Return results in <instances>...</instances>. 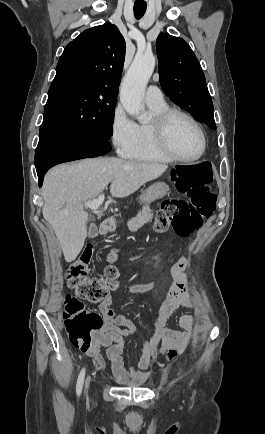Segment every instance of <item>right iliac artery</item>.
<instances>
[{"label":"right iliac artery","instance_id":"right-iliac-artery-1","mask_svg":"<svg viewBox=\"0 0 265 434\" xmlns=\"http://www.w3.org/2000/svg\"><path fill=\"white\" fill-rule=\"evenodd\" d=\"M84 378H85V369L83 368L78 376L77 385H76V392L78 396L81 394Z\"/></svg>","mask_w":265,"mask_h":434}]
</instances>
